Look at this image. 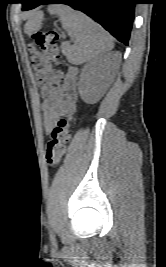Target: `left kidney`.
Instances as JSON below:
<instances>
[{
  "label": "left kidney",
  "instance_id": "5707ae66",
  "mask_svg": "<svg viewBox=\"0 0 166 267\" xmlns=\"http://www.w3.org/2000/svg\"><path fill=\"white\" fill-rule=\"evenodd\" d=\"M110 68L108 57H98L82 69L79 93L86 104H95L109 86Z\"/></svg>",
  "mask_w": 166,
  "mask_h": 267
}]
</instances>
